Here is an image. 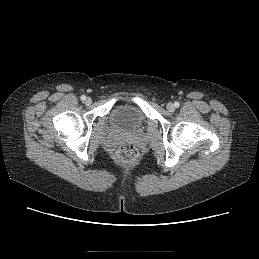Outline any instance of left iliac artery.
<instances>
[{"mask_svg":"<svg viewBox=\"0 0 259 259\" xmlns=\"http://www.w3.org/2000/svg\"><path fill=\"white\" fill-rule=\"evenodd\" d=\"M179 105H180L179 102H175V103H174V106H175V107H179Z\"/></svg>","mask_w":259,"mask_h":259,"instance_id":"left-iliac-artery-1","label":"left iliac artery"}]
</instances>
